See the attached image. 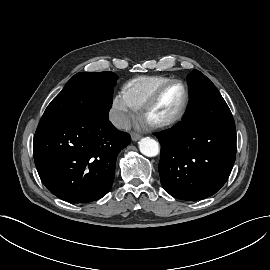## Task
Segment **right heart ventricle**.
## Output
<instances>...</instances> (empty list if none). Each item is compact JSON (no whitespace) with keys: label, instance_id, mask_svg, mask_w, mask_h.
Returning a JSON list of instances; mask_svg holds the SVG:
<instances>
[{"label":"right heart ventricle","instance_id":"1","mask_svg":"<svg viewBox=\"0 0 270 270\" xmlns=\"http://www.w3.org/2000/svg\"><path fill=\"white\" fill-rule=\"evenodd\" d=\"M171 78L165 76H138L127 81L123 92L135 110H140L155 90Z\"/></svg>","mask_w":270,"mask_h":270}]
</instances>
